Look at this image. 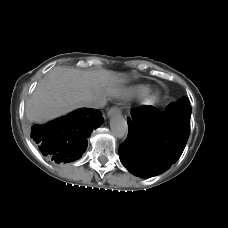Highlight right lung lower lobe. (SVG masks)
<instances>
[{"mask_svg": "<svg viewBox=\"0 0 228 228\" xmlns=\"http://www.w3.org/2000/svg\"><path fill=\"white\" fill-rule=\"evenodd\" d=\"M97 109L81 108L64 117L30 129L32 140L44 156L57 163L71 162L85 152L92 129L103 122Z\"/></svg>", "mask_w": 228, "mask_h": 228, "instance_id": "1", "label": "right lung lower lobe"}]
</instances>
